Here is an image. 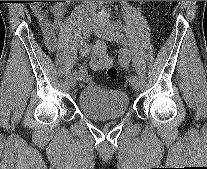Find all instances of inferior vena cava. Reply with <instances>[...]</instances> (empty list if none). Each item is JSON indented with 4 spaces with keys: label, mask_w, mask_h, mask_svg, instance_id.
Masks as SVG:
<instances>
[{
    "label": "inferior vena cava",
    "mask_w": 207,
    "mask_h": 169,
    "mask_svg": "<svg viewBox=\"0 0 207 169\" xmlns=\"http://www.w3.org/2000/svg\"><path fill=\"white\" fill-rule=\"evenodd\" d=\"M88 4H93L95 1H85Z\"/></svg>",
    "instance_id": "obj_1"
}]
</instances>
